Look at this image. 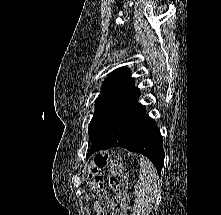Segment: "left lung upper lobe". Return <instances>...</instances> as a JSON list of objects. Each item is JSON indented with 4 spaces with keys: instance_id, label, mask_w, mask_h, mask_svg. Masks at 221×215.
<instances>
[{
    "instance_id": "left-lung-upper-lobe-1",
    "label": "left lung upper lobe",
    "mask_w": 221,
    "mask_h": 215,
    "mask_svg": "<svg viewBox=\"0 0 221 215\" xmlns=\"http://www.w3.org/2000/svg\"><path fill=\"white\" fill-rule=\"evenodd\" d=\"M139 96L140 91L134 86L128 68H118L110 73L95 100V112L88 129L89 140L92 142L106 130L137 102Z\"/></svg>"
}]
</instances>
